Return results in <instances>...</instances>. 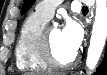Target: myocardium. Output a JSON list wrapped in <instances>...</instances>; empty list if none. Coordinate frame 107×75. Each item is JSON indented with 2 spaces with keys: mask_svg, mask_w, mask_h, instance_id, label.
Listing matches in <instances>:
<instances>
[{
  "mask_svg": "<svg viewBox=\"0 0 107 75\" xmlns=\"http://www.w3.org/2000/svg\"><path fill=\"white\" fill-rule=\"evenodd\" d=\"M51 26H45L40 36V50L41 55L45 63L53 69L64 70L73 67L77 62V54L67 62H60L54 53L51 40L50 32Z\"/></svg>",
  "mask_w": 107,
  "mask_h": 75,
  "instance_id": "obj_1",
  "label": "myocardium"
}]
</instances>
